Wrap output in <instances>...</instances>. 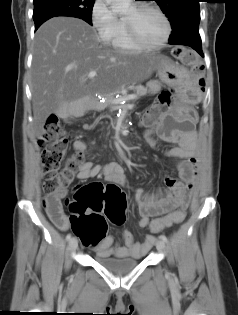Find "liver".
<instances>
[{"instance_id": "6515ba94", "label": "liver", "mask_w": 238, "mask_h": 315, "mask_svg": "<svg viewBox=\"0 0 238 315\" xmlns=\"http://www.w3.org/2000/svg\"><path fill=\"white\" fill-rule=\"evenodd\" d=\"M161 55H125L100 44L96 31L81 19L54 17L34 39L31 67L33 132L40 137L51 114L67 118L127 84L147 80L162 63ZM97 75L89 83L88 74Z\"/></svg>"}]
</instances>
